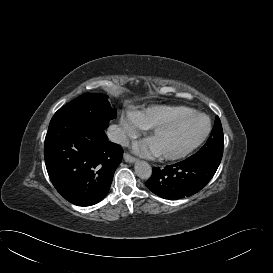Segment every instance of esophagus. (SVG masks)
I'll return each mask as SVG.
<instances>
[{
  "instance_id": "obj_1",
  "label": "esophagus",
  "mask_w": 273,
  "mask_h": 273,
  "mask_svg": "<svg viewBox=\"0 0 273 273\" xmlns=\"http://www.w3.org/2000/svg\"><path fill=\"white\" fill-rule=\"evenodd\" d=\"M124 160L126 162H129V163H134L135 161H137V158H135L134 156H132V155H130L128 153H126V154H124Z\"/></svg>"
}]
</instances>
